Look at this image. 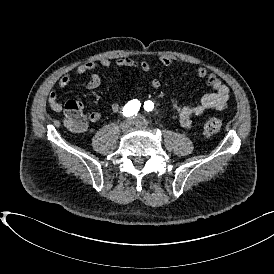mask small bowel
Returning a JSON list of instances; mask_svg holds the SVG:
<instances>
[{"label":"small bowel","mask_w":274,"mask_h":274,"mask_svg":"<svg viewBox=\"0 0 274 274\" xmlns=\"http://www.w3.org/2000/svg\"><path fill=\"white\" fill-rule=\"evenodd\" d=\"M160 62L164 66H171L173 60L168 56H161L159 58ZM114 64L121 68H137L141 71L147 72L151 69V64L149 61L143 59L136 61L130 58H118L115 60ZM113 65V62L108 58H101L98 61H86L79 65L74 73L76 76H81L86 73H91L89 80L85 83V88L87 90H95L99 88L102 84L101 76L94 72L98 66L109 68ZM197 77L199 79H204L206 84L212 89L211 92L205 94L197 103L194 104H179L174 98H170L169 103L172 110L177 114L180 124L186 129H190L193 126V117L202 115L210 110H222L227 106L229 100V88L222 82V80L212 72H209L205 66H199L196 71ZM71 76L69 74L63 75L59 82V89H64L70 83ZM150 85L154 89H159L161 82L153 78L150 80ZM48 102L51 109L55 112H61L63 110V104L59 102L56 98L55 91H51L48 96ZM110 109L113 112H120L122 110V105L117 102L110 104ZM89 121L87 123V129L90 125L99 122L102 118L101 113L98 111H92L88 113Z\"/></svg>","instance_id":"small-bowel-1"}]
</instances>
